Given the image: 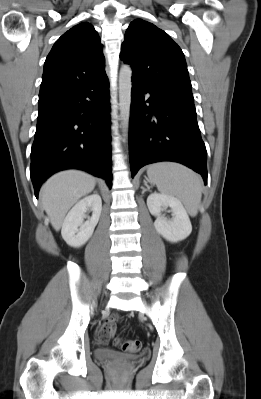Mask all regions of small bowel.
<instances>
[{
    "label": "small bowel",
    "mask_w": 261,
    "mask_h": 399,
    "mask_svg": "<svg viewBox=\"0 0 261 399\" xmlns=\"http://www.w3.org/2000/svg\"><path fill=\"white\" fill-rule=\"evenodd\" d=\"M119 320L117 314L108 317L98 328L97 339L101 343H106L115 334V323Z\"/></svg>",
    "instance_id": "obj_1"
}]
</instances>
